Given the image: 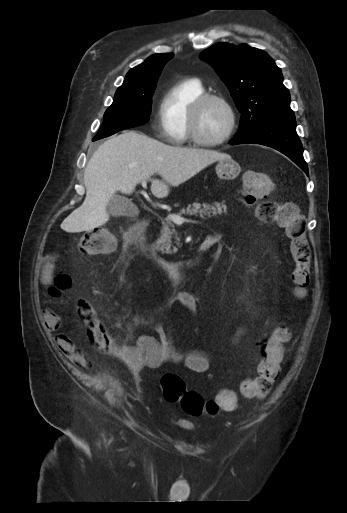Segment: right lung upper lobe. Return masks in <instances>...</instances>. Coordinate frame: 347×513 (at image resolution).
I'll return each instance as SVG.
<instances>
[{"label":"right lung upper lobe","instance_id":"cb5924a9","mask_svg":"<svg viewBox=\"0 0 347 513\" xmlns=\"http://www.w3.org/2000/svg\"><path fill=\"white\" fill-rule=\"evenodd\" d=\"M173 54H155L142 64L132 68L120 88H139L157 82L165 63Z\"/></svg>","mask_w":347,"mask_h":513}]
</instances>
